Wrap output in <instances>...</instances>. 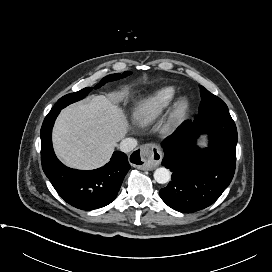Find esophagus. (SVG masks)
<instances>
[{
    "mask_svg": "<svg viewBox=\"0 0 272 272\" xmlns=\"http://www.w3.org/2000/svg\"><path fill=\"white\" fill-rule=\"evenodd\" d=\"M162 160V152L155 144H145L132 153L130 161L142 170L155 169Z\"/></svg>",
    "mask_w": 272,
    "mask_h": 272,
    "instance_id": "obj_1",
    "label": "esophagus"
}]
</instances>
